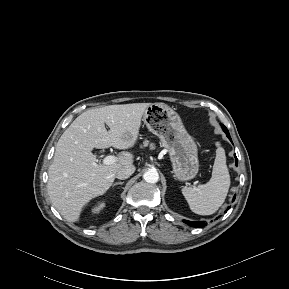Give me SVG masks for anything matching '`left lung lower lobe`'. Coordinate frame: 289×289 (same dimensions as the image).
<instances>
[{
    "label": "left lung lower lobe",
    "mask_w": 289,
    "mask_h": 289,
    "mask_svg": "<svg viewBox=\"0 0 289 289\" xmlns=\"http://www.w3.org/2000/svg\"><path fill=\"white\" fill-rule=\"evenodd\" d=\"M225 133H226L227 137L230 139V141L232 142L229 132L225 131ZM234 156L236 158V164H237V162H238L237 157H236V155H234ZM234 199H235V197L233 198V200ZM229 208L230 207H228V209ZM183 222H185L186 224H188L191 227H197V228H202L206 225V223L204 221L193 222V221L184 220Z\"/></svg>",
    "instance_id": "left-lung-lower-lobe-1"
}]
</instances>
